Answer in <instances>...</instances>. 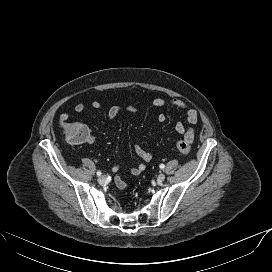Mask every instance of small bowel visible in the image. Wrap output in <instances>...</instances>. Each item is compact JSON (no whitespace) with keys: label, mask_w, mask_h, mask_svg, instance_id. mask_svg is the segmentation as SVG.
<instances>
[{"label":"small bowel","mask_w":272,"mask_h":272,"mask_svg":"<svg viewBox=\"0 0 272 272\" xmlns=\"http://www.w3.org/2000/svg\"><path fill=\"white\" fill-rule=\"evenodd\" d=\"M153 105L156 108H163L166 106L174 107L177 109L184 110L186 113V118L187 122L190 126L196 125L199 116L198 112L193 109L189 108L183 101L179 99H170V100H165L162 98H156L153 101ZM92 107L94 109H99L102 107V103L98 100H95L92 102ZM85 110V105L83 103H77L74 106V111L77 113H82ZM135 113L137 112V107L134 105H114L109 108L107 112V117L109 120L115 119L120 113ZM69 119V114L68 113H62L60 115V120L62 122L67 121ZM159 122H164L166 117L164 114H159L157 117ZM175 130L177 131L178 134L186 137L187 135L191 136V142L194 141L195 134L194 130L192 127H186L182 122H178L175 126ZM94 136H90V139L88 140V143H93L94 142ZM135 154L143 161L139 163L137 166L130 168L129 172L133 176H138L140 175L144 170H145V163L149 162L152 158L151 154L145 150L139 143H135L133 146ZM120 169V166L118 164H115L112 167V172L117 173ZM115 185L119 189H125L127 187V182L121 177V176H116L115 177Z\"/></svg>","instance_id":"small-bowel-1"}]
</instances>
